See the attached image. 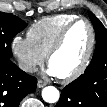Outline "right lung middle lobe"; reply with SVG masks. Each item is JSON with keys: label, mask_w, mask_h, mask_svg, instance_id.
<instances>
[{"label": "right lung middle lobe", "mask_w": 107, "mask_h": 107, "mask_svg": "<svg viewBox=\"0 0 107 107\" xmlns=\"http://www.w3.org/2000/svg\"><path fill=\"white\" fill-rule=\"evenodd\" d=\"M27 25L13 14L0 12V58L12 57L11 41Z\"/></svg>", "instance_id": "right-lung-middle-lobe-1"}]
</instances>
